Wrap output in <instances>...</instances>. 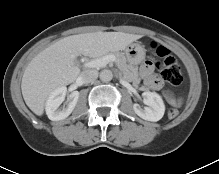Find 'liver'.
<instances>
[{
  "instance_id": "liver-1",
  "label": "liver",
  "mask_w": 219,
  "mask_h": 174,
  "mask_svg": "<svg viewBox=\"0 0 219 174\" xmlns=\"http://www.w3.org/2000/svg\"><path fill=\"white\" fill-rule=\"evenodd\" d=\"M140 35L123 32H93L62 38L37 54L26 67L21 90L26 105L36 115L44 113L48 96L73 83L80 75L78 56L100 57L124 50Z\"/></svg>"
}]
</instances>
